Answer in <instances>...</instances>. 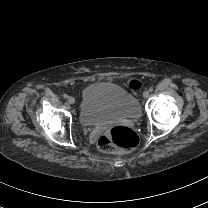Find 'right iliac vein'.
<instances>
[{"label": "right iliac vein", "instance_id": "1", "mask_svg": "<svg viewBox=\"0 0 208 208\" xmlns=\"http://www.w3.org/2000/svg\"><path fill=\"white\" fill-rule=\"evenodd\" d=\"M68 102L70 104H74L75 103V98L74 97H69Z\"/></svg>", "mask_w": 208, "mask_h": 208}]
</instances>
